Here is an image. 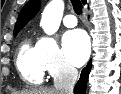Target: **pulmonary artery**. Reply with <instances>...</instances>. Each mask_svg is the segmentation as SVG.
<instances>
[{
    "label": "pulmonary artery",
    "instance_id": "obj_1",
    "mask_svg": "<svg viewBox=\"0 0 121 94\" xmlns=\"http://www.w3.org/2000/svg\"><path fill=\"white\" fill-rule=\"evenodd\" d=\"M63 24L68 28L75 27L77 25V18L73 14H67L63 19Z\"/></svg>",
    "mask_w": 121,
    "mask_h": 94
}]
</instances>
